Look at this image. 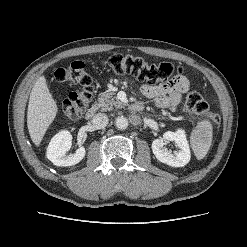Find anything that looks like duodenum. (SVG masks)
<instances>
[{
    "mask_svg": "<svg viewBox=\"0 0 247 247\" xmlns=\"http://www.w3.org/2000/svg\"><path fill=\"white\" fill-rule=\"evenodd\" d=\"M131 109L135 112H141L144 110V105L140 102L131 105ZM98 111L97 105H92L86 112V118L91 119Z\"/></svg>",
    "mask_w": 247,
    "mask_h": 247,
    "instance_id": "duodenum-1",
    "label": "duodenum"
}]
</instances>
